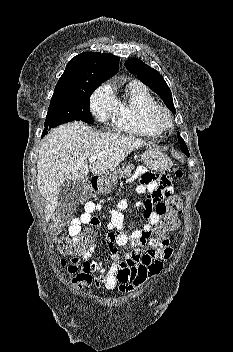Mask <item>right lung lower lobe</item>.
I'll return each mask as SVG.
<instances>
[{"label": "right lung lower lobe", "mask_w": 233, "mask_h": 352, "mask_svg": "<svg viewBox=\"0 0 233 352\" xmlns=\"http://www.w3.org/2000/svg\"><path fill=\"white\" fill-rule=\"evenodd\" d=\"M48 132H43L42 137H44Z\"/></svg>", "instance_id": "obj_1"}]
</instances>
